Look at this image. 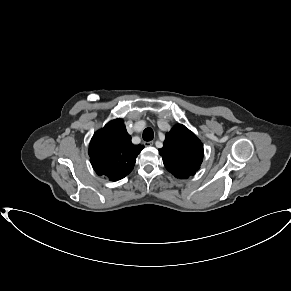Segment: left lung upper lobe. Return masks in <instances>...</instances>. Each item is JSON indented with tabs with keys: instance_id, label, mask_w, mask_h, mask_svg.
Listing matches in <instances>:
<instances>
[{
	"instance_id": "1",
	"label": "left lung upper lobe",
	"mask_w": 291,
	"mask_h": 291,
	"mask_svg": "<svg viewBox=\"0 0 291 291\" xmlns=\"http://www.w3.org/2000/svg\"><path fill=\"white\" fill-rule=\"evenodd\" d=\"M159 154L170 173L177 178L186 179L200 168L204 151L195 134L184 125L177 124L166 134Z\"/></svg>"
}]
</instances>
